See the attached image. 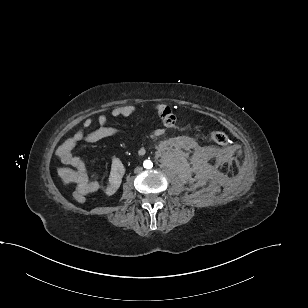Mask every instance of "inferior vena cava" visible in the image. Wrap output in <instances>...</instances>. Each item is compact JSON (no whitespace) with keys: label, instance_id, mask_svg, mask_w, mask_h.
Instances as JSON below:
<instances>
[{"label":"inferior vena cava","instance_id":"602c4592","mask_svg":"<svg viewBox=\"0 0 308 308\" xmlns=\"http://www.w3.org/2000/svg\"><path fill=\"white\" fill-rule=\"evenodd\" d=\"M141 170H142L141 167H136L135 170H134V172H135V173H138V172H140Z\"/></svg>","mask_w":308,"mask_h":308}]
</instances>
